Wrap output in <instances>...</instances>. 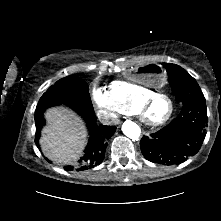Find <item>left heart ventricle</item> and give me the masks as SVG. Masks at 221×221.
Returning <instances> with one entry per match:
<instances>
[{
  "label": "left heart ventricle",
  "instance_id": "1",
  "mask_svg": "<svg viewBox=\"0 0 221 221\" xmlns=\"http://www.w3.org/2000/svg\"><path fill=\"white\" fill-rule=\"evenodd\" d=\"M170 111V103L164 98L156 99L148 108L147 116L157 121L164 118Z\"/></svg>",
  "mask_w": 221,
  "mask_h": 221
}]
</instances>
